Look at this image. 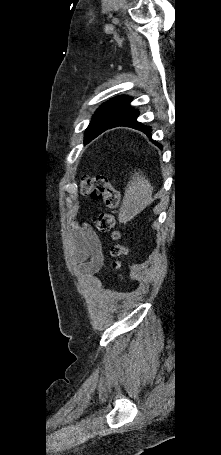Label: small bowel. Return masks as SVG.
<instances>
[{
	"label": "small bowel",
	"instance_id": "1",
	"mask_svg": "<svg viewBox=\"0 0 221 455\" xmlns=\"http://www.w3.org/2000/svg\"><path fill=\"white\" fill-rule=\"evenodd\" d=\"M70 244L75 262L82 265L83 274L97 288H102V281L95 273L103 264L100 245L88 225L77 227L70 234Z\"/></svg>",
	"mask_w": 221,
	"mask_h": 455
}]
</instances>
